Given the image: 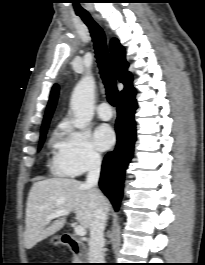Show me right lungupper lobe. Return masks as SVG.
<instances>
[{
  "label": "right lung upper lobe",
  "mask_w": 205,
  "mask_h": 265,
  "mask_svg": "<svg viewBox=\"0 0 205 265\" xmlns=\"http://www.w3.org/2000/svg\"><path fill=\"white\" fill-rule=\"evenodd\" d=\"M110 51L114 62L117 78L125 86L120 94L119 102L129 101L135 97V90L132 86L131 73L127 71L128 63L125 58V50L120 45L119 41L114 38L110 43ZM58 92L59 87L57 84H55L51 90L42 128H45L49 125L50 119L56 106Z\"/></svg>",
  "instance_id": "obj_1"
}]
</instances>
